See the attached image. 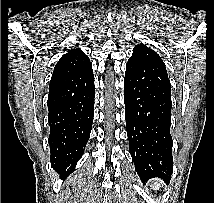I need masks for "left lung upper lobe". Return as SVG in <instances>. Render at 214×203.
Masks as SVG:
<instances>
[{"label": "left lung upper lobe", "mask_w": 214, "mask_h": 203, "mask_svg": "<svg viewBox=\"0 0 214 203\" xmlns=\"http://www.w3.org/2000/svg\"><path fill=\"white\" fill-rule=\"evenodd\" d=\"M136 49H146V50H152L151 48L147 47L146 45L140 44L135 46ZM153 51V50H152Z\"/></svg>", "instance_id": "5c2ea615"}]
</instances>
